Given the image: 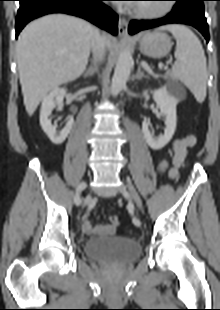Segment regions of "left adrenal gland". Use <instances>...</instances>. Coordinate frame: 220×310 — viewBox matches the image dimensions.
I'll use <instances>...</instances> for the list:
<instances>
[{
  "instance_id": "a2214340",
  "label": "left adrenal gland",
  "mask_w": 220,
  "mask_h": 310,
  "mask_svg": "<svg viewBox=\"0 0 220 310\" xmlns=\"http://www.w3.org/2000/svg\"><path fill=\"white\" fill-rule=\"evenodd\" d=\"M142 78H147L146 75H144V73L141 71V67L139 66L138 67V71H137V74H136V79L140 80Z\"/></svg>"
}]
</instances>
